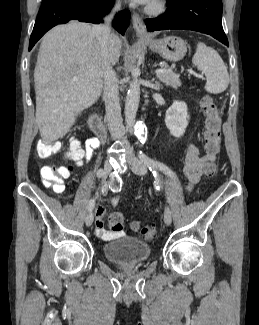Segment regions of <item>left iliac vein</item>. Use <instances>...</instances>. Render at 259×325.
Instances as JSON below:
<instances>
[{
  "label": "left iliac vein",
  "instance_id": "4c4485c4",
  "mask_svg": "<svg viewBox=\"0 0 259 325\" xmlns=\"http://www.w3.org/2000/svg\"><path fill=\"white\" fill-rule=\"evenodd\" d=\"M129 164L131 167V170L137 174V175H145L147 173V168L145 164L136 158L133 154H131L129 158ZM172 221V215H171V210L168 206L165 207L164 210V222L166 225H170Z\"/></svg>",
  "mask_w": 259,
  "mask_h": 325
}]
</instances>
